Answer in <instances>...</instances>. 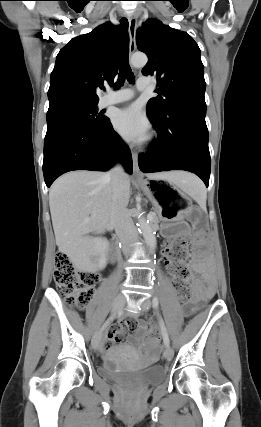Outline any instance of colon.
<instances>
[{"label": "colon", "mask_w": 261, "mask_h": 427, "mask_svg": "<svg viewBox=\"0 0 261 427\" xmlns=\"http://www.w3.org/2000/svg\"><path fill=\"white\" fill-rule=\"evenodd\" d=\"M188 242L186 238L172 241L165 250L167 268L173 278V286L177 290L179 299L185 303L190 298L189 286L192 274L185 264L187 258ZM99 280V275L93 272L80 270L71 258L64 252H58L55 257L54 281L58 291L66 298V302L78 308H85L90 302L94 286ZM140 331L148 338L158 337L155 328H149L142 323Z\"/></svg>", "instance_id": "1"}]
</instances>
